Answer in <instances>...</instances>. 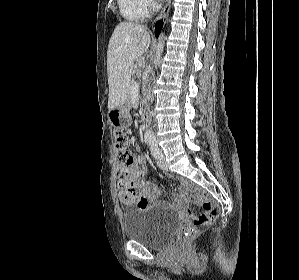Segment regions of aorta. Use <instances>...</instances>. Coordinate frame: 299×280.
I'll use <instances>...</instances> for the list:
<instances>
[{
  "instance_id": "1",
  "label": "aorta",
  "mask_w": 299,
  "mask_h": 280,
  "mask_svg": "<svg viewBox=\"0 0 299 280\" xmlns=\"http://www.w3.org/2000/svg\"><path fill=\"white\" fill-rule=\"evenodd\" d=\"M163 50H164V35H161L159 37V40H158V43H157V46H156L155 59H154V62H153L155 68H157L160 64V59H161ZM145 138L149 139V140H152V139H155V135L151 130H148L145 133Z\"/></svg>"
}]
</instances>
